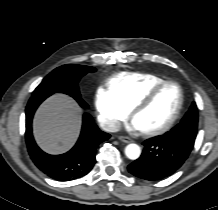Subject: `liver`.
Wrapping results in <instances>:
<instances>
[{"label": "liver", "mask_w": 218, "mask_h": 210, "mask_svg": "<svg viewBox=\"0 0 218 210\" xmlns=\"http://www.w3.org/2000/svg\"><path fill=\"white\" fill-rule=\"evenodd\" d=\"M81 109L64 94L49 97L37 110L33 121L34 137L46 152L57 154L67 151L78 138Z\"/></svg>", "instance_id": "obj_1"}]
</instances>
